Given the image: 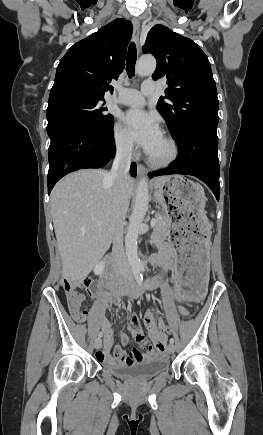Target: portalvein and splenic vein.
I'll use <instances>...</instances> for the list:
<instances>
[{
  "label": "portal vein and splenic vein",
  "instance_id": "obj_1",
  "mask_svg": "<svg viewBox=\"0 0 263 435\" xmlns=\"http://www.w3.org/2000/svg\"><path fill=\"white\" fill-rule=\"evenodd\" d=\"M156 222H157V219H156V218H154V219L151 220V222H150V226H151L152 229L156 226ZM97 225H98V226L102 225V222H97Z\"/></svg>",
  "mask_w": 263,
  "mask_h": 435
}]
</instances>
